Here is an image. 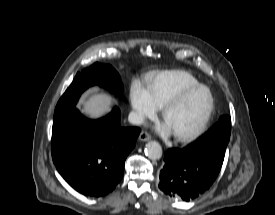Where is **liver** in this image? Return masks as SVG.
<instances>
[{
    "label": "liver",
    "instance_id": "6515ba94",
    "mask_svg": "<svg viewBox=\"0 0 275 215\" xmlns=\"http://www.w3.org/2000/svg\"><path fill=\"white\" fill-rule=\"evenodd\" d=\"M112 97L104 92L90 94L83 102L82 112L91 118H99L111 109Z\"/></svg>",
    "mask_w": 275,
    "mask_h": 215
}]
</instances>
